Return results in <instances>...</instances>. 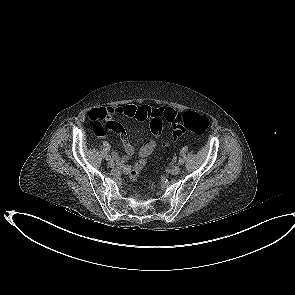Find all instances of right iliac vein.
<instances>
[{
    "mask_svg": "<svg viewBox=\"0 0 295 295\" xmlns=\"http://www.w3.org/2000/svg\"><path fill=\"white\" fill-rule=\"evenodd\" d=\"M108 165H109L110 167H114V166H115V164H114L113 161H109V162H108Z\"/></svg>",
    "mask_w": 295,
    "mask_h": 295,
    "instance_id": "right-iliac-vein-1",
    "label": "right iliac vein"
}]
</instances>
